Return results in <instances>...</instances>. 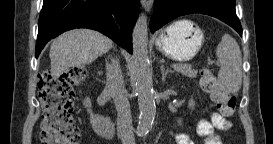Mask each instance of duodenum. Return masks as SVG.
Listing matches in <instances>:
<instances>
[{"mask_svg": "<svg viewBox=\"0 0 273 144\" xmlns=\"http://www.w3.org/2000/svg\"><path fill=\"white\" fill-rule=\"evenodd\" d=\"M93 130L101 137L110 139L115 136L116 131L112 120L99 111H93L89 116Z\"/></svg>", "mask_w": 273, "mask_h": 144, "instance_id": "duodenum-1", "label": "duodenum"}]
</instances>
